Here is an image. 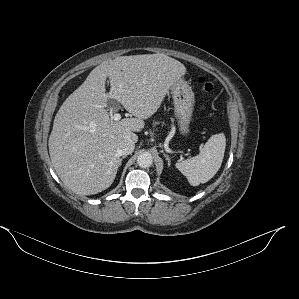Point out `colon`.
Returning a JSON list of instances; mask_svg holds the SVG:
<instances>
[{"mask_svg": "<svg viewBox=\"0 0 299 299\" xmlns=\"http://www.w3.org/2000/svg\"><path fill=\"white\" fill-rule=\"evenodd\" d=\"M200 83L202 84V87L206 92H212L213 91L214 87L210 82L206 81L205 79H201Z\"/></svg>", "mask_w": 299, "mask_h": 299, "instance_id": "colon-1", "label": "colon"}]
</instances>
